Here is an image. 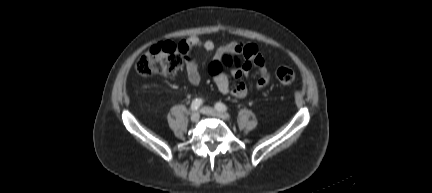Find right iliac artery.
I'll return each instance as SVG.
<instances>
[{"label":"right iliac artery","mask_w":432,"mask_h":193,"mask_svg":"<svg viewBox=\"0 0 432 193\" xmlns=\"http://www.w3.org/2000/svg\"><path fill=\"white\" fill-rule=\"evenodd\" d=\"M202 103H203L202 99H200V98L194 99L191 103V109L193 111L199 109V107L202 105Z\"/></svg>","instance_id":"1"}]
</instances>
